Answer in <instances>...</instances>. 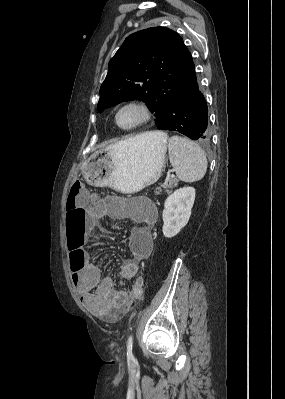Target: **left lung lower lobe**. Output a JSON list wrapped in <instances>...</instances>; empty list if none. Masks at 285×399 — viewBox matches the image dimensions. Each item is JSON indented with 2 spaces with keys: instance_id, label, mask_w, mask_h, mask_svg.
<instances>
[{
  "instance_id": "1",
  "label": "left lung lower lobe",
  "mask_w": 285,
  "mask_h": 399,
  "mask_svg": "<svg viewBox=\"0 0 285 399\" xmlns=\"http://www.w3.org/2000/svg\"><path fill=\"white\" fill-rule=\"evenodd\" d=\"M160 129L180 132L192 140L209 138L208 108L195 73L173 95L167 118Z\"/></svg>"
}]
</instances>
